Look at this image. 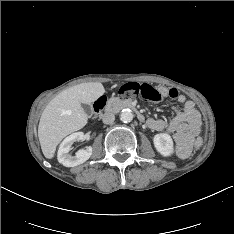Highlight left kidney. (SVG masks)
<instances>
[{
    "label": "left kidney",
    "mask_w": 234,
    "mask_h": 234,
    "mask_svg": "<svg viewBox=\"0 0 234 234\" xmlns=\"http://www.w3.org/2000/svg\"><path fill=\"white\" fill-rule=\"evenodd\" d=\"M156 150L164 157H169L174 152V143L171 136L167 133L156 134L153 137Z\"/></svg>",
    "instance_id": "5707ae66"
}]
</instances>
